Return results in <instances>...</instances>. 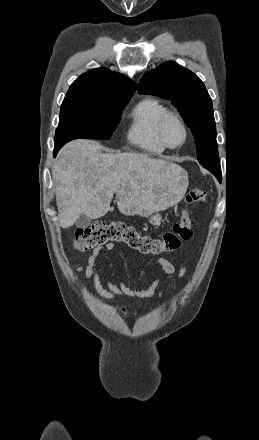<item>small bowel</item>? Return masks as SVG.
Masks as SVG:
<instances>
[{
    "label": "small bowel",
    "instance_id": "small-bowel-1",
    "mask_svg": "<svg viewBox=\"0 0 259 440\" xmlns=\"http://www.w3.org/2000/svg\"><path fill=\"white\" fill-rule=\"evenodd\" d=\"M114 248L115 245L113 243H108L105 246V249L108 252L113 251ZM100 253H101V247L95 248L92 251V253L89 255L86 265L85 266L80 265L76 267L77 272L84 273L85 284H88L90 279L94 277L95 289L100 296L108 299L118 296L147 299L153 297L156 294L157 288L160 283L159 277H156L147 288L142 290L131 289L121 280L117 281V283H113L107 280L105 281L106 287H104L99 277L98 259ZM157 266L159 271L165 273L167 277L170 279L173 278V276L176 273L174 263L167 258H159L157 260ZM185 273H186V267L182 266L178 270L177 275L179 278H182L185 275ZM158 296L161 298L163 296V292L160 291L158 293ZM121 311L126 312V309L122 308Z\"/></svg>",
    "mask_w": 259,
    "mask_h": 440
}]
</instances>
